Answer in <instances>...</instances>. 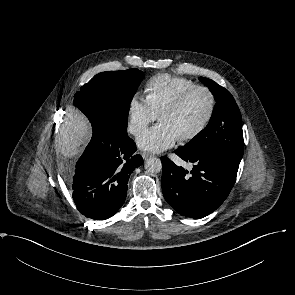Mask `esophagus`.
<instances>
[{
    "instance_id": "34e87169",
    "label": "esophagus",
    "mask_w": 295,
    "mask_h": 295,
    "mask_svg": "<svg viewBox=\"0 0 295 295\" xmlns=\"http://www.w3.org/2000/svg\"><path fill=\"white\" fill-rule=\"evenodd\" d=\"M141 155H142L143 159H147L148 157L152 156V154L148 153V152H142Z\"/></svg>"
}]
</instances>
